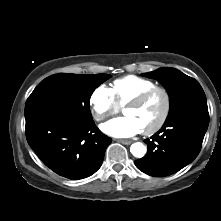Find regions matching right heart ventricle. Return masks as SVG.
I'll return each mask as SVG.
<instances>
[{"mask_svg": "<svg viewBox=\"0 0 221 221\" xmlns=\"http://www.w3.org/2000/svg\"><path fill=\"white\" fill-rule=\"evenodd\" d=\"M156 86L150 79L136 75H127L116 79L111 88L116 103L122 107L133 98L137 97L146 90Z\"/></svg>", "mask_w": 221, "mask_h": 221, "instance_id": "1", "label": "right heart ventricle"}]
</instances>
